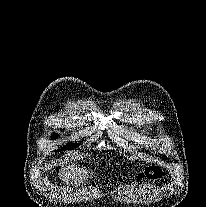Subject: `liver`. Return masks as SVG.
<instances>
[{
	"label": "liver",
	"instance_id": "liver-1",
	"mask_svg": "<svg viewBox=\"0 0 206 207\" xmlns=\"http://www.w3.org/2000/svg\"><path fill=\"white\" fill-rule=\"evenodd\" d=\"M62 180L67 184L74 183V186L77 187L80 181L85 180L87 176V170L85 168H79L75 164L68 165L63 168L59 173Z\"/></svg>",
	"mask_w": 206,
	"mask_h": 207
}]
</instances>
